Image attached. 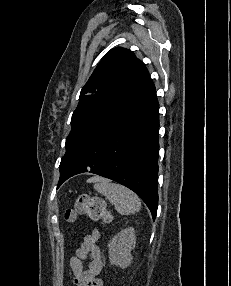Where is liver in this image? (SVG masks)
Returning a JSON list of instances; mask_svg holds the SVG:
<instances>
[{"instance_id": "1", "label": "liver", "mask_w": 231, "mask_h": 286, "mask_svg": "<svg viewBox=\"0 0 231 286\" xmlns=\"http://www.w3.org/2000/svg\"><path fill=\"white\" fill-rule=\"evenodd\" d=\"M100 178H92V179H89L88 181H97L99 180Z\"/></svg>"}]
</instances>
